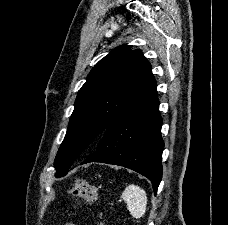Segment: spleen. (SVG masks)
<instances>
[{
  "instance_id": "1",
  "label": "spleen",
  "mask_w": 228,
  "mask_h": 225,
  "mask_svg": "<svg viewBox=\"0 0 228 225\" xmlns=\"http://www.w3.org/2000/svg\"><path fill=\"white\" fill-rule=\"evenodd\" d=\"M121 199L125 201L126 207L134 219L144 217L148 201L147 193L144 189L137 187V185H129L123 191Z\"/></svg>"
}]
</instances>
